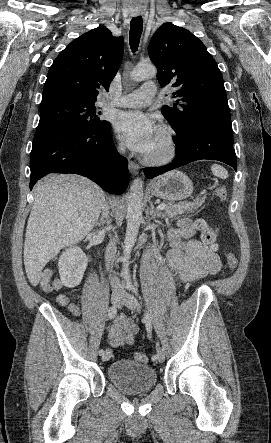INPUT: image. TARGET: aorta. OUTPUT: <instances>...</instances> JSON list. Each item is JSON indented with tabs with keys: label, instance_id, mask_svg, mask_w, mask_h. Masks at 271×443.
Segmentation results:
<instances>
[{
	"label": "aorta",
	"instance_id": "aorta-1",
	"mask_svg": "<svg viewBox=\"0 0 271 443\" xmlns=\"http://www.w3.org/2000/svg\"><path fill=\"white\" fill-rule=\"evenodd\" d=\"M157 70L153 64H139L131 72V78L134 82H139V80H145V78H155ZM143 182L137 178L134 180L129 194V200L127 204V227L123 245V261H127L130 257L132 247L135 245L137 239L140 223L142 222V206H143ZM123 277L126 281H130V273L128 269V263H124Z\"/></svg>",
	"mask_w": 271,
	"mask_h": 443
}]
</instances>
